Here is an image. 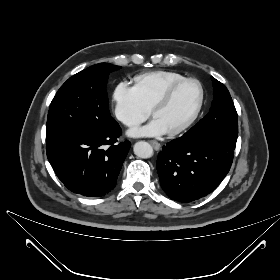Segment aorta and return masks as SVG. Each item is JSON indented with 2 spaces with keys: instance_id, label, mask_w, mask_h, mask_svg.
Instances as JSON below:
<instances>
[{
  "instance_id": "aorta-1",
  "label": "aorta",
  "mask_w": 280,
  "mask_h": 280,
  "mask_svg": "<svg viewBox=\"0 0 280 280\" xmlns=\"http://www.w3.org/2000/svg\"><path fill=\"white\" fill-rule=\"evenodd\" d=\"M134 154L140 158H150L153 156V148L152 146L145 141H139L134 145Z\"/></svg>"
}]
</instances>
